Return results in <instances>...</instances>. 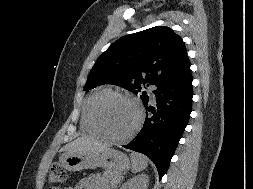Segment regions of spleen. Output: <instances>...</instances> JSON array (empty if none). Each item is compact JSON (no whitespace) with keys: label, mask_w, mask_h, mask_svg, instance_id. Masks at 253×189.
<instances>
[{"label":"spleen","mask_w":253,"mask_h":189,"mask_svg":"<svg viewBox=\"0 0 253 189\" xmlns=\"http://www.w3.org/2000/svg\"><path fill=\"white\" fill-rule=\"evenodd\" d=\"M132 167L131 170L133 173L140 172L148 166L147 158L139 153H131Z\"/></svg>","instance_id":"3e777b00"}]
</instances>
